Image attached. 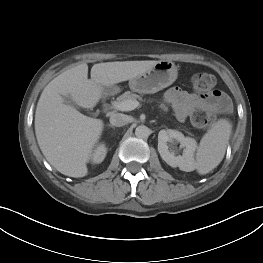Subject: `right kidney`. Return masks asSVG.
<instances>
[{"label": "right kidney", "mask_w": 263, "mask_h": 263, "mask_svg": "<svg viewBox=\"0 0 263 263\" xmlns=\"http://www.w3.org/2000/svg\"><path fill=\"white\" fill-rule=\"evenodd\" d=\"M106 152L107 149L104 144H100L99 146H97L94 153L92 154V162L95 164L101 163L105 158Z\"/></svg>", "instance_id": "obj_1"}]
</instances>
